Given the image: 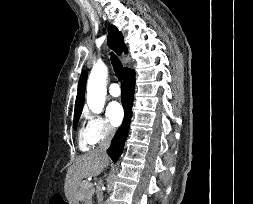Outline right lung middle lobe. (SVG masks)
Segmentation results:
<instances>
[{"instance_id":"dd1d6c3e","label":"right lung middle lobe","mask_w":253,"mask_h":204,"mask_svg":"<svg viewBox=\"0 0 253 204\" xmlns=\"http://www.w3.org/2000/svg\"><path fill=\"white\" fill-rule=\"evenodd\" d=\"M80 114L74 117V129H76Z\"/></svg>"}]
</instances>
